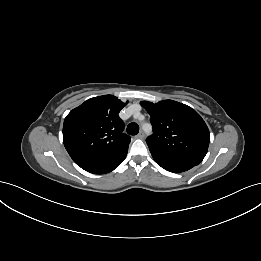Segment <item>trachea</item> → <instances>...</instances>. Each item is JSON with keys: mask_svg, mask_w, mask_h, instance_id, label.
I'll list each match as a JSON object with an SVG mask.
<instances>
[{"mask_svg": "<svg viewBox=\"0 0 261 261\" xmlns=\"http://www.w3.org/2000/svg\"><path fill=\"white\" fill-rule=\"evenodd\" d=\"M139 132V126L136 123H130L127 126V133L130 135H136Z\"/></svg>", "mask_w": 261, "mask_h": 261, "instance_id": "3493384b", "label": "trachea"}]
</instances>
